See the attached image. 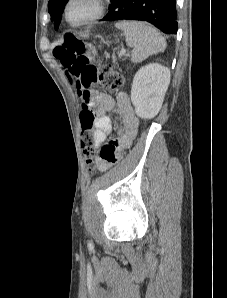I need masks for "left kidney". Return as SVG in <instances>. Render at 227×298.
Segmentation results:
<instances>
[{"instance_id":"5707ae66","label":"left kidney","mask_w":227,"mask_h":298,"mask_svg":"<svg viewBox=\"0 0 227 298\" xmlns=\"http://www.w3.org/2000/svg\"><path fill=\"white\" fill-rule=\"evenodd\" d=\"M170 83V70L158 63H150L135 74L131 101L136 115L143 119L154 118L162 107Z\"/></svg>"}]
</instances>
